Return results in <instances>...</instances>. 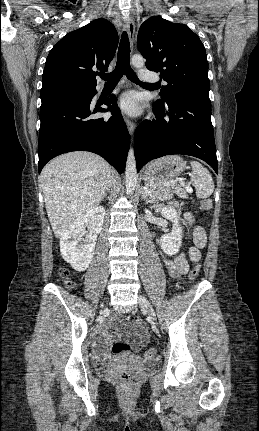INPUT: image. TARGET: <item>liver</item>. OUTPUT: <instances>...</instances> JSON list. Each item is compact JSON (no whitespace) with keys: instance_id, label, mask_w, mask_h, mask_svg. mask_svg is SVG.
<instances>
[{"instance_id":"obj_1","label":"liver","mask_w":259,"mask_h":431,"mask_svg":"<svg viewBox=\"0 0 259 431\" xmlns=\"http://www.w3.org/2000/svg\"><path fill=\"white\" fill-rule=\"evenodd\" d=\"M110 173L102 157L86 151L60 155L43 168L40 181L56 238L102 201Z\"/></svg>"}]
</instances>
